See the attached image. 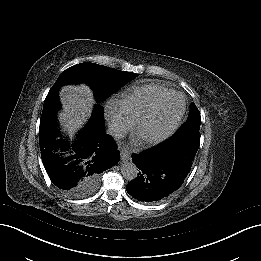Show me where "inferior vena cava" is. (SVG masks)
I'll use <instances>...</instances> for the list:
<instances>
[{"label": "inferior vena cava", "instance_id": "1", "mask_svg": "<svg viewBox=\"0 0 261 261\" xmlns=\"http://www.w3.org/2000/svg\"><path fill=\"white\" fill-rule=\"evenodd\" d=\"M106 133L119 140L126 135V129L120 122L108 119L106 123Z\"/></svg>", "mask_w": 261, "mask_h": 261}]
</instances>
